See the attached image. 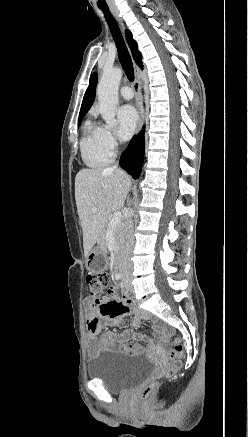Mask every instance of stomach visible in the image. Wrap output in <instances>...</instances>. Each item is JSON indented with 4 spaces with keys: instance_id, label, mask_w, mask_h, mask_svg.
<instances>
[{
    "instance_id": "1",
    "label": "stomach",
    "mask_w": 248,
    "mask_h": 437,
    "mask_svg": "<svg viewBox=\"0 0 248 437\" xmlns=\"http://www.w3.org/2000/svg\"><path fill=\"white\" fill-rule=\"evenodd\" d=\"M86 267L88 272H107V258L105 252L100 248L91 250L86 256Z\"/></svg>"
}]
</instances>
